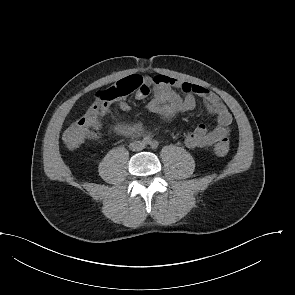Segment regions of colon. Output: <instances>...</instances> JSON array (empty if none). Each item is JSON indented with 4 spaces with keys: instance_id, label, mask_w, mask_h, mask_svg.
Returning <instances> with one entry per match:
<instances>
[{
    "instance_id": "obj_1",
    "label": "colon",
    "mask_w": 295,
    "mask_h": 295,
    "mask_svg": "<svg viewBox=\"0 0 295 295\" xmlns=\"http://www.w3.org/2000/svg\"><path fill=\"white\" fill-rule=\"evenodd\" d=\"M142 86L143 78L140 75H131L99 91L83 116L64 131L62 137L64 144L70 149H75L81 146L86 139L95 137L100 124V116L118 100L140 90ZM213 150L215 154L224 156L229 151V143H220L214 146Z\"/></svg>"
}]
</instances>
